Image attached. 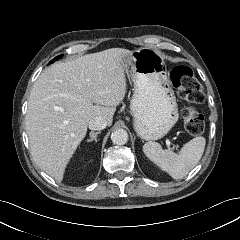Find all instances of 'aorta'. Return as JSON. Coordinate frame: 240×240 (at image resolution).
<instances>
[{"label":"aorta","instance_id":"obj_1","mask_svg":"<svg viewBox=\"0 0 240 240\" xmlns=\"http://www.w3.org/2000/svg\"><path fill=\"white\" fill-rule=\"evenodd\" d=\"M111 140L116 145H124L128 141V133L124 129H116L111 134Z\"/></svg>","mask_w":240,"mask_h":240}]
</instances>
